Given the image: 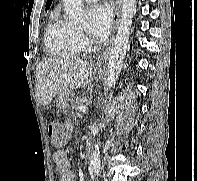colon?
<instances>
[{"mask_svg": "<svg viewBox=\"0 0 197 181\" xmlns=\"http://www.w3.org/2000/svg\"><path fill=\"white\" fill-rule=\"evenodd\" d=\"M48 134L55 145H60L63 141V132L58 124H49Z\"/></svg>", "mask_w": 197, "mask_h": 181, "instance_id": "1", "label": "colon"}]
</instances>
